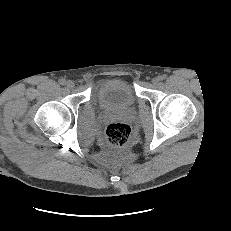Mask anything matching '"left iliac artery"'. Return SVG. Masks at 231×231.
<instances>
[{
	"mask_svg": "<svg viewBox=\"0 0 231 231\" xmlns=\"http://www.w3.org/2000/svg\"><path fill=\"white\" fill-rule=\"evenodd\" d=\"M166 75H162V76H160V80H165L166 79Z\"/></svg>",
	"mask_w": 231,
	"mask_h": 231,
	"instance_id": "1",
	"label": "left iliac artery"
}]
</instances>
